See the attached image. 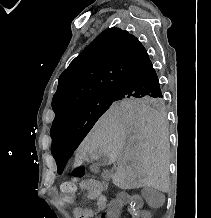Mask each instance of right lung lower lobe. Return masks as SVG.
I'll return each instance as SVG.
<instances>
[{
    "label": "right lung lower lobe",
    "instance_id": "98d812e1",
    "mask_svg": "<svg viewBox=\"0 0 211 218\" xmlns=\"http://www.w3.org/2000/svg\"><path fill=\"white\" fill-rule=\"evenodd\" d=\"M116 94L125 97H163L157 74L149 58L125 78Z\"/></svg>",
    "mask_w": 211,
    "mask_h": 218
}]
</instances>
